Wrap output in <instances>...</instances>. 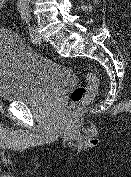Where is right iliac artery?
Wrapping results in <instances>:
<instances>
[{
    "label": "right iliac artery",
    "instance_id": "82829eb1",
    "mask_svg": "<svg viewBox=\"0 0 131 177\" xmlns=\"http://www.w3.org/2000/svg\"><path fill=\"white\" fill-rule=\"evenodd\" d=\"M24 8H26V7L23 6V5H20V6H19V9H20V10H23Z\"/></svg>",
    "mask_w": 131,
    "mask_h": 177
}]
</instances>
